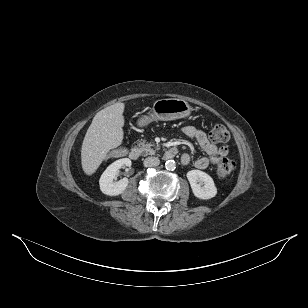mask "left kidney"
<instances>
[{
    "mask_svg": "<svg viewBox=\"0 0 308 308\" xmlns=\"http://www.w3.org/2000/svg\"><path fill=\"white\" fill-rule=\"evenodd\" d=\"M187 179L193 194L197 198L208 200L216 196L217 188L213 179L207 173L200 170H191L187 172Z\"/></svg>",
    "mask_w": 308,
    "mask_h": 308,
    "instance_id": "left-kidney-1",
    "label": "left kidney"
}]
</instances>
